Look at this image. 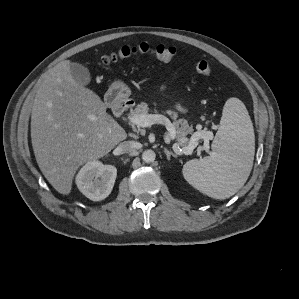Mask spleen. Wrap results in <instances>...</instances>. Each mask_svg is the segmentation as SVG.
Listing matches in <instances>:
<instances>
[{
  "mask_svg": "<svg viewBox=\"0 0 299 299\" xmlns=\"http://www.w3.org/2000/svg\"><path fill=\"white\" fill-rule=\"evenodd\" d=\"M254 154L255 136L249 113L241 100L230 98L224 105L210 156L186 162L182 173L200 192L226 199L247 181Z\"/></svg>",
  "mask_w": 299,
  "mask_h": 299,
  "instance_id": "3e777b00",
  "label": "spleen"
}]
</instances>
